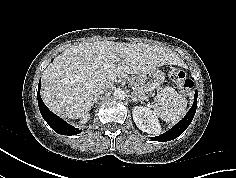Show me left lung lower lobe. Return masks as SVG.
Wrapping results in <instances>:
<instances>
[{
	"label": "left lung lower lobe",
	"instance_id": "0a47b994",
	"mask_svg": "<svg viewBox=\"0 0 236 178\" xmlns=\"http://www.w3.org/2000/svg\"><path fill=\"white\" fill-rule=\"evenodd\" d=\"M197 96H198V93L196 91L195 96H194V103L191 109L188 111L186 116L180 122H178L173 128H171L164 134L157 137H153L152 140L153 141H170L180 136L186 130V128L190 125L195 115L196 108H197Z\"/></svg>",
	"mask_w": 236,
	"mask_h": 178
}]
</instances>
